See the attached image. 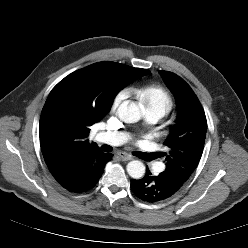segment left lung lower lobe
<instances>
[{
  "label": "left lung lower lobe",
  "mask_w": 248,
  "mask_h": 248,
  "mask_svg": "<svg viewBox=\"0 0 248 248\" xmlns=\"http://www.w3.org/2000/svg\"><path fill=\"white\" fill-rule=\"evenodd\" d=\"M131 190L139 199L153 203L171 197L179 189L169 181L163 172L158 176H153L147 168L146 175L142 179H131Z\"/></svg>",
  "instance_id": "left-lung-lower-lobe-1"
}]
</instances>
